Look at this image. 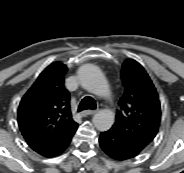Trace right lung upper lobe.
<instances>
[{"instance_id": "1", "label": "right lung upper lobe", "mask_w": 184, "mask_h": 173, "mask_svg": "<svg viewBox=\"0 0 184 173\" xmlns=\"http://www.w3.org/2000/svg\"><path fill=\"white\" fill-rule=\"evenodd\" d=\"M66 71V65L59 62L49 65L19 105V128L39 154L54 149L78 127L72 119L70 94L64 87Z\"/></svg>"}]
</instances>
